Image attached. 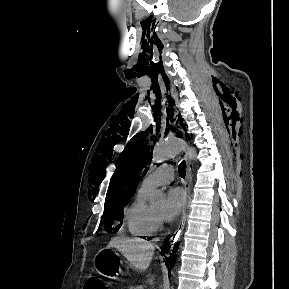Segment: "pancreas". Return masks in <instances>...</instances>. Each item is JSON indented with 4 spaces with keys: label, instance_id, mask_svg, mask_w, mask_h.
<instances>
[{
    "label": "pancreas",
    "instance_id": "pancreas-1",
    "mask_svg": "<svg viewBox=\"0 0 289 289\" xmlns=\"http://www.w3.org/2000/svg\"><path fill=\"white\" fill-rule=\"evenodd\" d=\"M129 289H143L141 286H139V287H133V286H131Z\"/></svg>",
    "mask_w": 289,
    "mask_h": 289
}]
</instances>
